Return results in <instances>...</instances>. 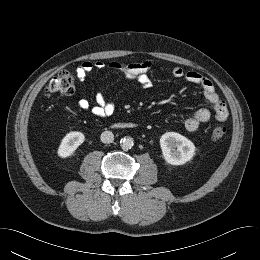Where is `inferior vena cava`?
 <instances>
[{
  "instance_id": "obj_1",
  "label": "inferior vena cava",
  "mask_w": 260,
  "mask_h": 260,
  "mask_svg": "<svg viewBox=\"0 0 260 260\" xmlns=\"http://www.w3.org/2000/svg\"><path fill=\"white\" fill-rule=\"evenodd\" d=\"M100 139L103 143H112L114 140V135L111 131H104L101 134Z\"/></svg>"
}]
</instances>
